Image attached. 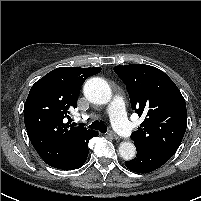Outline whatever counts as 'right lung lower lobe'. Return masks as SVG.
<instances>
[{
    "label": "right lung lower lobe",
    "instance_id": "obj_1",
    "mask_svg": "<svg viewBox=\"0 0 201 201\" xmlns=\"http://www.w3.org/2000/svg\"><path fill=\"white\" fill-rule=\"evenodd\" d=\"M85 143L82 152L80 153L79 157L73 161L71 164L58 168V169H63V170H70V169H78L80 168L86 161L87 156H88V141Z\"/></svg>",
    "mask_w": 201,
    "mask_h": 201
}]
</instances>
